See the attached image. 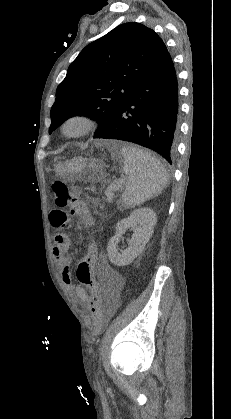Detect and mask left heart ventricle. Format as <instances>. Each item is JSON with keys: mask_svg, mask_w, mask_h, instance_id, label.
Instances as JSON below:
<instances>
[{"mask_svg": "<svg viewBox=\"0 0 231 419\" xmlns=\"http://www.w3.org/2000/svg\"><path fill=\"white\" fill-rule=\"evenodd\" d=\"M77 128V125H72L71 127H70V129L71 130H75Z\"/></svg>", "mask_w": 231, "mask_h": 419, "instance_id": "b2bd125f", "label": "left heart ventricle"}]
</instances>
